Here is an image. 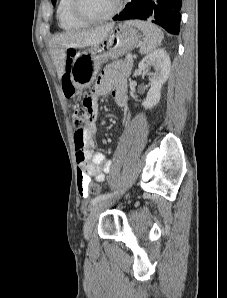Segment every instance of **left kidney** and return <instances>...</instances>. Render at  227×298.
Instances as JSON below:
<instances>
[{"label":"left kidney","mask_w":227,"mask_h":298,"mask_svg":"<svg viewBox=\"0 0 227 298\" xmlns=\"http://www.w3.org/2000/svg\"><path fill=\"white\" fill-rule=\"evenodd\" d=\"M151 66L154 68L155 72L152 73L149 78L151 88L142 103L143 107L146 109H151L160 101L161 88L169 77L171 62L164 49H157L149 53L139 63V69L143 71L148 70Z\"/></svg>","instance_id":"left-kidney-1"}]
</instances>
